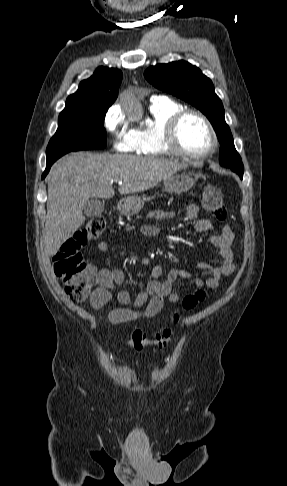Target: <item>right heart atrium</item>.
<instances>
[{
  "mask_svg": "<svg viewBox=\"0 0 287 486\" xmlns=\"http://www.w3.org/2000/svg\"><path fill=\"white\" fill-rule=\"evenodd\" d=\"M105 130L113 137V148L119 152H133L135 142L132 130L128 127V122L117 106L108 108L103 117Z\"/></svg>",
  "mask_w": 287,
  "mask_h": 486,
  "instance_id": "right-heart-atrium-1",
  "label": "right heart atrium"
}]
</instances>
